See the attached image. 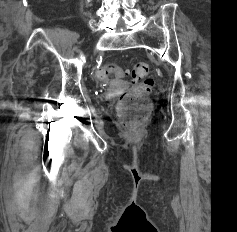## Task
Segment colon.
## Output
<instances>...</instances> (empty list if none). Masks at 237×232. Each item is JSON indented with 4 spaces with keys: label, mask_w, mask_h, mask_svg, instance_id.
Returning a JSON list of instances; mask_svg holds the SVG:
<instances>
[{
    "label": "colon",
    "mask_w": 237,
    "mask_h": 232,
    "mask_svg": "<svg viewBox=\"0 0 237 232\" xmlns=\"http://www.w3.org/2000/svg\"><path fill=\"white\" fill-rule=\"evenodd\" d=\"M126 74V70L113 63H107L97 71V76L102 80L121 78ZM148 74L149 65L146 62H137L130 72L136 84L122 94L118 103L117 115L124 128L132 134L139 132L150 116L148 96L154 80Z\"/></svg>",
    "instance_id": "colon-1"
}]
</instances>
